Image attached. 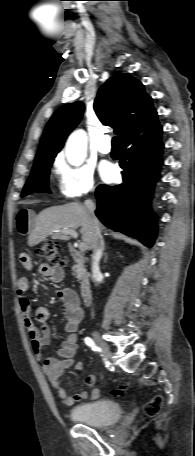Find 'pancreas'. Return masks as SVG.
Masks as SVG:
<instances>
[{"instance_id":"pancreas-1","label":"pancreas","mask_w":195,"mask_h":456,"mask_svg":"<svg viewBox=\"0 0 195 456\" xmlns=\"http://www.w3.org/2000/svg\"><path fill=\"white\" fill-rule=\"evenodd\" d=\"M75 269L77 270L76 278L78 280H82V279H85L86 277H88V273L83 265L77 266V267H75Z\"/></svg>"}]
</instances>
